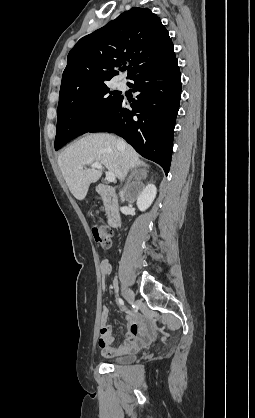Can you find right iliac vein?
<instances>
[{"label": "right iliac vein", "mask_w": 255, "mask_h": 418, "mask_svg": "<svg viewBox=\"0 0 255 418\" xmlns=\"http://www.w3.org/2000/svg\"><path fill=\"white\" fill-rule=\"evenodd\" d=\"M122 294L129 303L134 302L135 296L130 289H128L126 287H122Z\"/></svg>", "instance_id": "right-iliac-vein-1"}]
</instances>
